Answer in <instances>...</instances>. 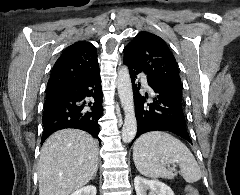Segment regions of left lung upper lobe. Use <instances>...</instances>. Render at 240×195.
I'll use <instances>...</instances> for the list:
<instances>
[{
    "label": "left lung upper lobe",
    "mask_w": 240,
    "mask_h": 195,
    "mask_svg": "<svg viewBox=\"0 0 240 195\" xmlns=\"http://www.w3.org/2000/svg\"><path fill=\"white\" fill-rule=\"evenodd\" d=\"M124 60L166 90L182 96V84L175 57L165 41L149 32H140L124 48Z\"/></svg>",
    "instance_id": "obj_1"
}]
</instances>
